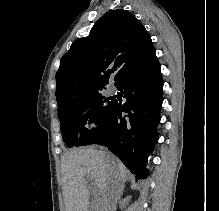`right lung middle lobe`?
Segmentation results:
<instances>
[{"mask_svg": "<svg viewBox=\"0 0 219 211\" xmlns=\"http://www.w3.org/2000/svg\"><path fill=\"white\" fill-rule=\"evenodd\" d=\"M115 101L106 98L100 92L58 105L63 140L70 147L84 146L91 135L85 127L96 121L101 124L109 115Z\"/></svg>", "mask_w": 219, "mask_h": 211, "instance_id": "right-lung-middle-lobe-1", "label": "right lung middle lobe"}]
</instances>
